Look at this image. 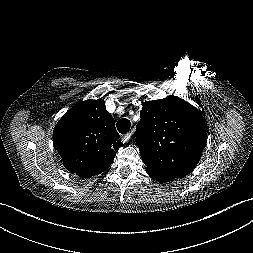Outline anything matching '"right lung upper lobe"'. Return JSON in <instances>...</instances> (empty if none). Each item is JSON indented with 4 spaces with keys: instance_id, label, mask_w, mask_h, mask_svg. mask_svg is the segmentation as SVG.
I'll list each match as a JSON object with an SVG mask.
<instances>
[{
    "instance_id": "right-lung-upper-lobe-1",
    "label": "right lung upper lobe",
    "mask_w": 253,
    "mask_h": 253,
    "mask_svg": "<svg viewBox=\"0 0 253 253\" xmlns=\"http://www.w3.org/2000/svg\"><path fill=\"white\" fill-rule=\"evenodd\" d=\"M53 139L65 168L82 178L105 171L123 146L103 99L86 100L68 110L56 124Z\"/></svg>"
}]
</instances>
